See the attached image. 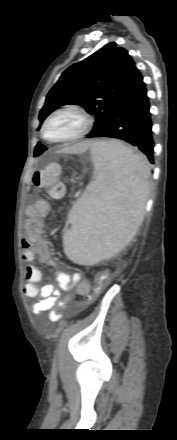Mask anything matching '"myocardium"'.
Segmentation results:
<instances>
[{
    "mask_svg": "<svg viewBox=\"0 0 177 440\" xmlns=\"http://www.w3.org/2000/svg\"><path fill=\"white\" fill-rule=\"evenodd\" d=\"M59 114H72L76 116L81 121V127L76 132L67 137L60 139H49L46 135V128L50 121ZM91 126L92 120L83 110L76 107H62L54 110L46 117L41 126L40 135L43 140L51 144L69 143L83 138L89 132Z\"/></svg>",
    "mask_w": 177,
    "mask_h": 440,
    "instance_id": "1",
    "label": "myocardium"
}]
</instances>
